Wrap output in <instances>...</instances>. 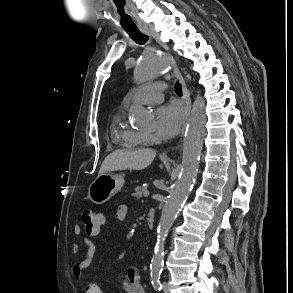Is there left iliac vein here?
<instances>
[{"label":"left iliac vein","mask_w":293,"mask_h":293,"mask_svg":"<svg viewBox=\"0 0 293 293\" xmlns=\"http://www.w3.org/2000/svg\"><path fill=\"white\" fill-rule=\"evenodd\" d=\"M163 293H169V287L166 282L163 283Z\"/></svg>","instance_id":"obj_1"}]
</instances>
